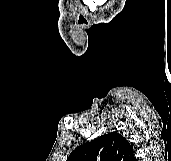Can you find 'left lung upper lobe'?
<instances>
[{"instance_id": "5c2ea615", "label": "left lung upper lobe", "mask_w": 171, "mask_h": 161, "mask_svg": "<svg viewBox=\"0 0 171 161\" xmlns=\"http://www.w3.org/2000/svg\"><path fill=\"white\" fill-rule=\"evenodd\" d=\"M132 145L117 132L104 134L77 147L67 161H132Z\"/></svg>"}]
</instances>
